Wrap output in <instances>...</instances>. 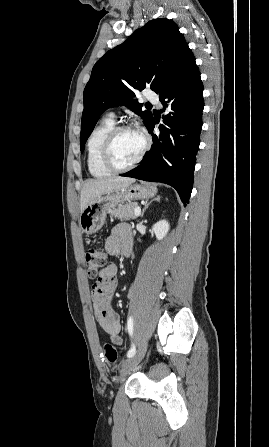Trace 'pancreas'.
<instances>
[{"mask_svg":"<svg viewBox=\"0 0 269 447\" xmlns=\"http://www.w3.org/2000/svg\"><path fill=\"white\" fill-rule=\"evenodd\" d=\"M136 206V202H130V204H125V206H118L116 210L109 212V214L113 218H118V220H135L134 208Z\"/></svg>","mask_w":269,"mask_h":447,"instance_id":"cf45deb5","label":"pancreas"}]
</instances>
